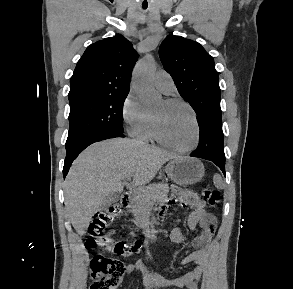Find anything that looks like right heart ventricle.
Masks as SVG:
<instances>
[{"instance_id": "e07e8e85", "label": "right heart ventricle", "mask_w": 293, "mask_h": 289, "mask_svg": "<svg viewBox=\"0 0 293 289\" xmlns=\"http://www.w3.org/2000/svg\"><path fill=\"white\" fill-rule=\"evenodd\" d=\"M138 137L142 140H154L152 133V121L151 116L148 114V118L138 134Z\"/></svg>"}]
</instances>
